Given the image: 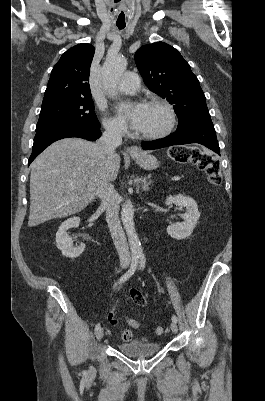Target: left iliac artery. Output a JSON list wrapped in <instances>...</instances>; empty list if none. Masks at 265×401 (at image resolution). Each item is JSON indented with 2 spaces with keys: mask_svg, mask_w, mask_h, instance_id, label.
I'll list each match as a JSON object with an SVG mask.
<instances>
[{
  "mask_svg": "<svg viewBox=\"0 0 265 401\" xmlns=\"http://www.w3.org/2000/svg\"><path fill=\"white\" fill-rule=\"evenodd\" d=\"M145 262H146L145 257L143 255H141L140 256V269H144ZM172 321L175 323L177 322V317L175 315L172 316Z\"/></svg>",
  "mask_w": 265,
  "mask_h": 401,
  "instance_id": "left-iliac-artery-1",
  "label": "left iliac artery"
}]
</instances>
